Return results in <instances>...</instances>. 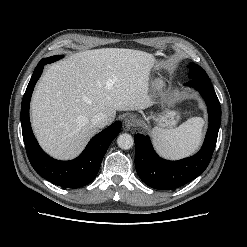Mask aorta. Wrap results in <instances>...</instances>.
Listing matches in <instances>:
<instances>
[{"label":"aorta","mask_w":247,"mask_h":247,"mask_svg":"<svg viewBox=\"0 0 247 247\" xmlns=\"http://www.w3.org/2000/svg\"><path fill=\"white\" fill-rule=\"evenodd\" d=\"M117 144L121 149L128 150L132 148L134 139L130 134L123 133L118 136Z\"/></svg>","instance_id":"1"}]
</instances>
